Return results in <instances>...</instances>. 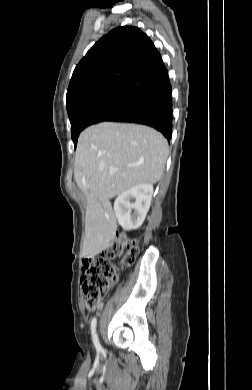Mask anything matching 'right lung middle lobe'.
Wrapping results in <instances>:
<instances>
[{
	"instance_id": "dd1d6c3e",
	"label": "right lung middle lobe",
	"mask_w": 252,
	"mask_h": 390,
	"mask_svg": "<svg viewBox=\"0 0 252 390\" xmlns=\"http://www.w3.org/2000/svg\"><path fill=\"white\" fill-rule=\"evenodd\" d=\"M134 99L135 97L131 96H106L73 109L68 115L74 146L76 147L79 134L83 129L92 124L106 121L114 114L127 108Z\"/></svg>"
}]
</instances>
